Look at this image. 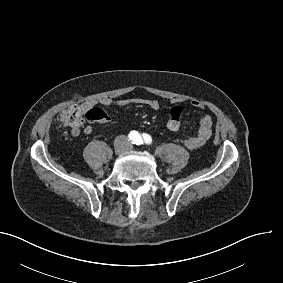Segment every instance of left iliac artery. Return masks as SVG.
<instances>
[{
    "mask_svg": "<svg viewBox=\"0 0 283 283\" xmlns=\"http://www.w3.org/2000/svg\"><path fill=\"white\" fill-rule=\"evenodd\" d=\"M136 145H141V144H152V138L150 135L143 133L142 136H138L137 140L134 142Z\"/></svg>",
    "mask_w": 283,
    "mask_h": 283,
    "instance_id": "44dca946",
    "label": "left iliac artery"
}]
</instances>
